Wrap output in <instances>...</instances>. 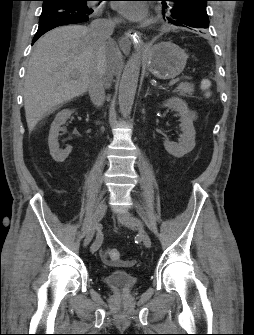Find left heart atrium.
<instances>
[{
    "instance_id": "left-heart-atrium-1",
    "label": "left heart atrium",
    "mask_w": 254,
    "mask_h": 335,
    "mask_svg": "<svg viewBox=\"0 0 254 335\" xmlns=\"http://www.w3.org/2000/svg\"><path fill=\"white\" fill-rule=\"evenodd\" d=\"M116 9L126 19L133 22L144 21L147 17V10L141 3L121 1L117 4Z\"/></svg>"
}]
</instances>
